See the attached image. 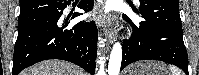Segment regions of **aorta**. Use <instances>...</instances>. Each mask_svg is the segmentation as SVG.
Instances as JSON below:
<instances>
[{"label": "aorta", "instance_id": "1", "mask_svg": "<svg viewBox=\"0 0 199 75\" xmlns=\"http://www.w3.org/2000/svg\"><path fill=\"white\" fill-rule=\"evenodd\" d=\"M122 60V47L120 43H115L109 59L108 75H118Z\"/></svg>", "mask_w": 199, "mask_h": 75}]
</instances>
